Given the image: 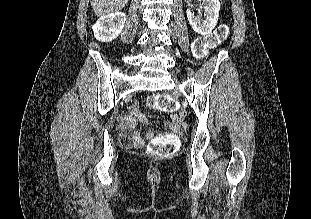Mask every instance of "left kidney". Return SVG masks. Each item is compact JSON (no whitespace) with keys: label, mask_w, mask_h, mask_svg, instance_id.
<instances>
[{"label":"left kidney","mask_w":311,"mask_h":219,"mask_svg":"<svg viewBox=\"0 0 311 219\" xmlns=\"http://www.w3.org/2000/svg\"><path fill=\"white\" fill-rule=\"evenodd\" d=\"M204 19L196 16L190 9L187 10V18L193 30L201 35H208L215 28L220 10L219 0H202Z\"/></svg>","instance_id":"5707ae66"}]
</instances>
